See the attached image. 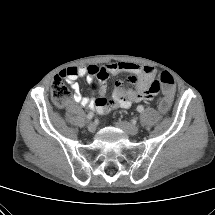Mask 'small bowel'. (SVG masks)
Listing matches in <instances>:
<instances>
[{
    "label": "small bowel",
    "instance_id": "c3829d8e",
    "mask_svg": "<svg viewBox=\"0 0 215 215\" xmlns=\"http://www.w3.org/2000/svg\"><path fill=\"white\" fill-rule=\"evenodd\" d=\"M122 72L131 74L129 82L134 84L135 88L126 89L118 82L112 98L107 99V80L109 75H117ZM60 76L70 84L73 90L72 100L75 103L100 114H106L117 108L127 109L134 103L152 100L156 94L148 93L153 84L155 69L133 62H116L104 66L68 67L61 71ZM80 78H85L92 86H95V80H97L99 97L82 96L80 85L77 82Z\"/></svg>",
    "mask_w": 215,
    "mask_h": 215
}]
</instances>
